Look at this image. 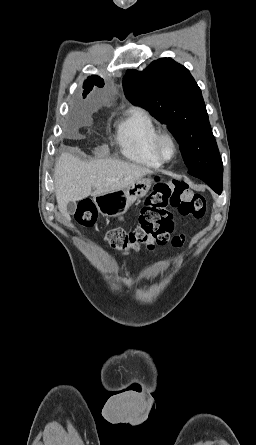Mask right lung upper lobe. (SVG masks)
Segmentation results:
<instances>
[{"mask_svg":"<svg viewBox=\"0 0 256 445\" xmlns=\"http://www.w3.org/2000/svg\"><path fill=\"white\" fill-rule=\"evenodd\" d=\"M94 86L103 87L104 86L103 79L96 75H92V76L88 77L85 80L84 85H83V88H84L83 98L86 97V95L92 90V88Z\"/></svg>","mask_w":256,"mask_h":445,"instance_id":"cb5924a9","label":"right lung upper lobe"}]
</instances>
